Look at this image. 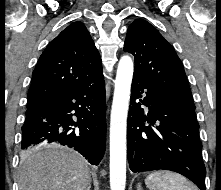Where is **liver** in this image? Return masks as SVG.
Here are the masks:
<instances>
[{"label": "liver", "mask_w": 221, "mask_h": 190, "mask_svg": "<svg viewBox=\"0 0 221 190\" xmlns=\"http://www.w3.org/2000/svg\"><path fill=\"white\" fill-rule=\"evenodd\" d=\"M35 148L21 155L19 190H86L91 173L79 153L60 147Z\"/></svg>", "instance_id": "obj_1"}]
</instances>
